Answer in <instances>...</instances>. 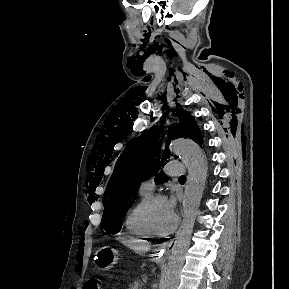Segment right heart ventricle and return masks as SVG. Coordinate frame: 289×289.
Listing matches in <instances>:
<instances>
[{"label":"right heart ventricle","mask_w":289,"mask_h":289,"mask_svg":"<svg viewBox=\"0 0 289 289\" xmlns=\"http://www.w3.org/2000/svg\"><path fill=\"white\" fill-rule=\"evenodd\" d=\"M152 193L139 191V195L135 203L127 211L125 215V228L128 233L139 238H151L152 235L145 228L142 221V212L147 200Z\"/></svg>","instance_id":"e07e8e85"}]
</instances>
